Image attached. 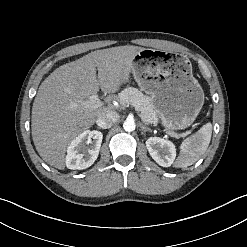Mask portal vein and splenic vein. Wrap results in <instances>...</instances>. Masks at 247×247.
Here are the masks:
<instances>
[{
  "label": "portal vein and splenic vein",
  "instance_id": "obj_1",
  "mask_svg": "<svg viewBox=\"0 0 247 247\" xmlns=\"http://www.w3.org/2000/svg\"><path fill=\"white\" fill-rule=\"evenodd\" d=\"M84 105L86 107H90V108H98L100 107L102 104H101V101L98 97L97 94H93L89 97V99L84 103ZM140 117L141 119L146 122L147 124H151L149 121H146L143 119V116L140 114ZM168 134L171 136V137H174V138H178V134L174 133V132H168Z\"/></svg>",
  "mask_w": 247,
  "mask_h": 247
}]
</instances>
